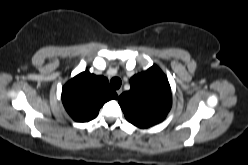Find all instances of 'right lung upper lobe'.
Listing matches in <instances>:
<instances>
[{
	"label": "right lung upper lobe",
	"mask_w": 248,
	"mask_h": 165,
	"mask_svg": "<svg viewBox=\"0 0 248 165\" xmlns=\"http://www.w3.org/2000/svg\"><path fill=\"white\" fill-rule=\"evenodd\" d=\"M116 98L118 95L109 87L107 78L88 71L72 78L62 90L63 105L77 122L94 119L104 103Z\"/></svg>",
	"instance_id": "right-lung-upper-lobe-1"
}]
</instances>
